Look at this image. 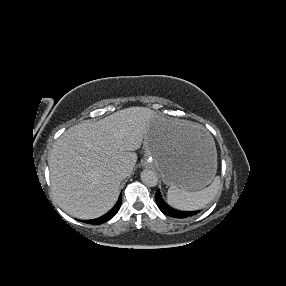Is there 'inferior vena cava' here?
I'll return each mask as SVG.
<instances>
[{"label":"inferior vena cava","mask_w":286,"mask_h":286,"mask_svg":"<svg viewBox=\"0 0 286 286\" xmlns=\"http://www.w3.org/2000/svg\"><path fill=\"white\" fill-rule=\"evenodd\" d=\"M114 172L120 178H125L127 176V170L123 165L116 166Z\"/></svg>","instance_id":"602c4592"}]
</instances>
